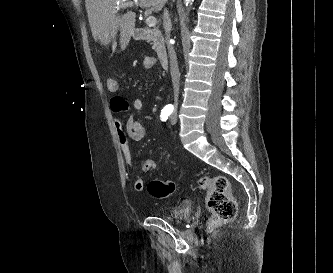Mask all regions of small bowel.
Returning <instances> with one entry per match:
<instances>
[{"instance_id":"small-bowel-1","label":"small bowel","mask_w":333,"mask_h":273,"mask_svg":"<svg viewBox=\"0 0 333 273\" xmlns=\"http://www.w3.org/2000/svg\"><path fill=\"white\" fill-rule=\"evenodd\" d=\"M153 60L146 58L145 60ZM143 69H154V62H143ZM110 103L115 113L113 124L116 130L117 138L121 147L122 154L127 164H132V153L129 140L141 141L145 137V128L140 121V114L143 109V100L141 98L134 99L132 108L128 109V101L125 96H110ZM127 114L125 122L122 116ZM136 191L144 189V180L137 177L133 183Z\"/></svg>"}]
</instances>
